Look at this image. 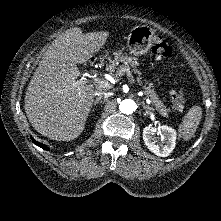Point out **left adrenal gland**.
Returning a JSON list of instances; mask_svg holds the SVG:
<instances>
[{
  "mask_svg": "<svg viewBox=\"0 0 221 221\" xmlns=\"http://www.w3.org/2000/svg\"><path fill=\"white\" fill-rule=\"evenodd\" d=\"M144 109H148V110H153L151 107L149 106H143Z\"/></svg>",
  "mask_w": 221,
  "mask_h": 221,
  "instance_id": "obj_1",
  "label": "left adrenal gland"
}]
</instances>
